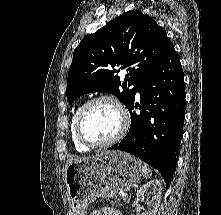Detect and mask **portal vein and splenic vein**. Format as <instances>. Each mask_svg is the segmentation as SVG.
Masks as SVG:
<instances>
[{
	"label": "portal vein and splenic vein",
	"instance_id": "portal-vein-and-splenic-vein-1",
	"mask_svg": "<svg viewBox=\"0 0 221 215\" xmlns=\"http://www.w3.org/2000/svg\"><path fill=\"white\" fill-rule=\"evenodd\" d=\"M123 199H124V200H126V199H127V197H126V196H124V197H123Z\"/></svg>",
	"mask_w": 221,
	"mask_h": 215
}]
</instances>
